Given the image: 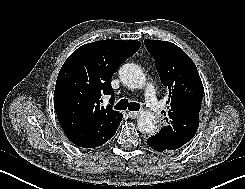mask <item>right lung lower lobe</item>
Returning <instances> with one entry per match:
<instances>
[{"mask_svg":"<svg viewBox=\"0 0 245 189\" xmlns=\"http://www.w3.org/2000/svg\"><path fill=\"white\" fill-rule=\"evenodd\" d=\"M104 143H105V142H104ZM104 143H103V144H104ZM103 144H100L99 146H101V145H103ZM97 146H98V145H97ZM97 146H93V147H97ZM86 148H88V147H86ZM89 148H92V147H89Z\"/></svg>","mask_w":245,"mask_h":189,"instance_id":"98d812e1","label":"right lung lower lobe"}]
</instances>
